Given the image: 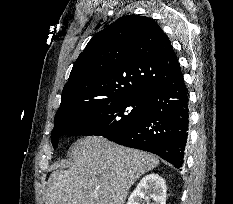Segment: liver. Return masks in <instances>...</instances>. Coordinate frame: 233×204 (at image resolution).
<instances>
[{
    "label": "liver",
    "instance_id": "6515ba94",
    "mask_svg": "<svg viewBox=\"0 0 233 204\" xmlns=\"http://www.w3.org/2000/svg\"><path fill=\"white\" fill-rule=\"evenodd\" d=\"M70 151L69 169L49 177L46 204H124L130 187L159 164L150 153L97 136L78 139Z\"/></svg>",
    "mask_w": 233,
    "mask_h": 204
}]
</instances>
